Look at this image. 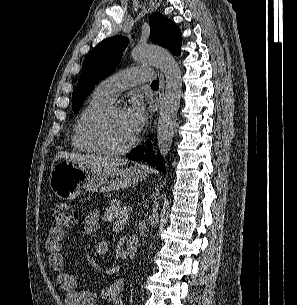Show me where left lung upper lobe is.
<instances>
[{
	"instance_id": "5c2ea615",
	"label": "left lung upper lobe",
	"mask_w": 297,
	"mask_h": 305,
	"mask_svg": "<svg viewBox=\"0 0 297 305\" xmlns=\"http://www.w3.org/2000/svg\"><path fill=\"white\" fill-rule=\"evenodd\" d=\"M150 40L180 55L182 34L174 22L161 13H152L149 19ZM128 39L114 36L100 42L86 57L77 86L72 94V108L76 112L83 104L95 83L106 78L118 66Z\"/></svg>"
}]
</instances>
